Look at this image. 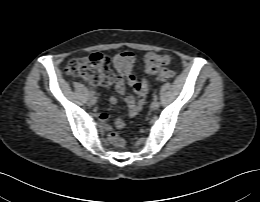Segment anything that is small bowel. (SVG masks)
Returning <instances> with one entry per match:
<instances>
[{"label": "small bowel", "mask_w": 260, "mask_h": 202, "mask_svg": "<svg viewBox=\"0 0 260 202\" xmlns=\"http://www.w3.org/2000/svg\"><path fill=\"white\" fill-rule=\"evenodd\" d=\"M128 83L130 87L133 89L134 94L131 96H127L125 94V83L124 80L121 77H117L115 80V87L123 101L128 105L129 108V115L131 117L136 116L141 108L143 107L148 91H149V85L146 79L144 78H137L134 74H131L128 77ZM111 104H116L119 101V98L112 96L110 98ZM98 119L101 123H103L104 128L107 131H111L113 128V125L108 123L109 115L107 113H100L98 115ZM124 126V121L121 117H117L114 121V127L120 129ZM111 141V140H110Z\"/></svg>", "instance_id": "1"}]
</instances>
